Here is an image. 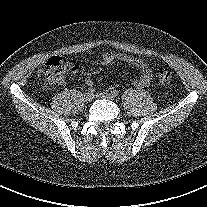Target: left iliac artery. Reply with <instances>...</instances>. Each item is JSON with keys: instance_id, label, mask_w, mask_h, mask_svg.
I'll return each mask as SVG.
<instances>
[{"instance_id": "left-iliac-artery-1", "label": "left iliac artery", "mask_w": 207, "mask_h": 207, "mask_svg": "<svg viewBox=\"0 0 207 207\" xmlns=\"http://www.w3.org/2000/svg\"><path fill=\"white\" fill-rule=\"evenodd\" d=\"M111 94H112L114 97H116V96H118L119 92H118L117 90H112V91H111Z\"/></svg>"}]
</instances>
